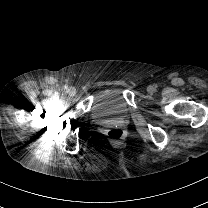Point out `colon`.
Returning <instances> with one entry per match:
<instances>
[{"instance_id": "obj_1", "label": "colon", "mask_w": 208, "mask_h": 208, "mask_svg": "<svg viewBox=\"0 0 208 208\" xmlns=\"http://www.w3.org/2000/svg\"><path fill=\"white\" fill-rule=\"evenodd\" d=\"M122 135H123V131L118 128L111 129L108 132V136L114 140H119L122 137Z\"/></svg>"}]
</instances>
